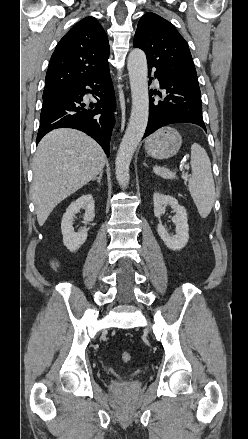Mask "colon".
<instances>
[{
	"mask_svg": "<svg viewBox=\"0 0 248 439\" xmlns=\"http://www.w3.org/2000/svg\"><path fill=\"white\" fill-rule=\"evenodd\" d=\"M120 359L125 362L128 363L131 361V354L129 352H122L120 354Z\"/></svg>",
	"mask_w": 248,
	"mask_h": 439,
	"instance_id": "colon-1",
	"label": "colon"
}]
</instances>
